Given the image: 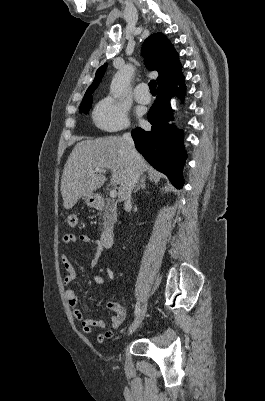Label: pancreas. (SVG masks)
Instances as JSON below:
<instances>
[{"mask_svg": "<svg viewBox=\"0 0 265 401\" xmlns=\"http://www.w3.org/2000/svg\"><path fill=\"white\" fill-rule=\"evenodd\" d=\"M99 211L98 217H100L101 221H105V223H101V225H110V227H113L114 223L117 221V211L114 207V203H112V201H105V207H101Z\"/></svg>", "mask_w": 265, "mask_h": 401, "instance_id": "pancreas-1", "label": "pancreas"}]
</instances>
